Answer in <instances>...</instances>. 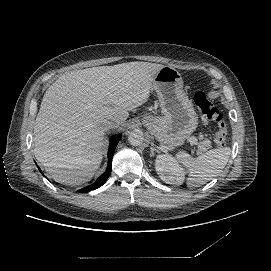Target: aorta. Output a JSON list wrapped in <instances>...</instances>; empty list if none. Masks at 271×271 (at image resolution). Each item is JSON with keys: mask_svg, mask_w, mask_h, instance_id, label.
Wrapping results in <instances>:
<instances>
[{"mask_svg": "<svg viewBox=\"0 0 271 271\" xmlns=\"http://www.w3.org/2000/svg\"><path fill=\"white\" fill-rule=\"evenodd\" d=\"M128 141L132 146H140L144 141V134L141 130L133 131L128 136Z\"/></svg>", "mask_w": 271, "mask_h": 271, "instance_id": "1", "label": "aorta"}]
</instances>
